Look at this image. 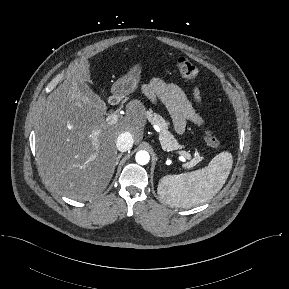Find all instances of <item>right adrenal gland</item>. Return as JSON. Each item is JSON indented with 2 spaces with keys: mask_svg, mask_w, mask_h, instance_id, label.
Wrapping results in <instances>:
<instances>
[{
  "mask_svg": "<svg viewBox=\"0 0 289 289\" xmlns=\"http://www.w3.org/2000/svg\"><path fill=\"white\" fill-rule=\"evenodd\" d=\"M121 156H122V154H119V155H118V162H119V160H120Z\"/></svg>",
  "mask_w": 289,
  "mask_h": 289,
  "instance_id": "right-adrenal-gland-1",
  "label": "right adrenal gland"
}]
</instances>
